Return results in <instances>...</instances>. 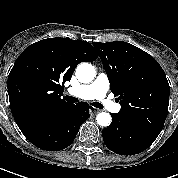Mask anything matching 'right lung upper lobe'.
<instances>
[{
    "label": "right lung upper lobe",
    "mask_w": 178,
    "mask_h": 178,
    "mask_svg": "<svg viewBox=\"0 0 178 178\" xmlns=\"http://www.w3.org/2000/svg\"><path fill=\"white\" fill-rule=\"evenodd\" d=\"M98 58L86 41L48 38L27 47L8 76L10 108L19 128L58 113L70 104L61 99L76 66Z\"/></svg>",
    "instance_id": "obj_1"
}]
</instances>
